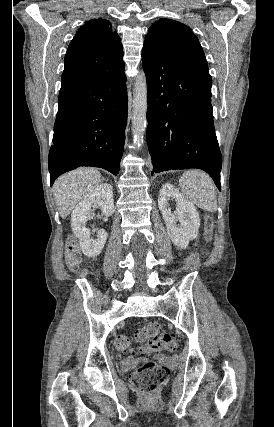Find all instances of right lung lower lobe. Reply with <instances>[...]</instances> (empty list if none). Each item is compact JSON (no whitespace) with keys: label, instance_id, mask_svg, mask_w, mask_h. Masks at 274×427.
<instances>
[{"label":"right lung lower lobe","instance_id":"right-lung-lower-lobe-1","mask_svg":"<svg viewBox=\"0 0 274 427\" xmlns=\"http://www.w3.org/2000/svg\"><path fill=\"white\" fill-rule=\"evenodd\" d=\"M49 152L50 185L79 166L119 173L127 123L124 63L85 84L61 91Z\"/></svg>","mask_w":274,"mask_h":427}]
</instances>
